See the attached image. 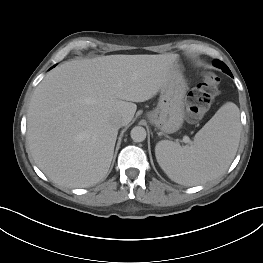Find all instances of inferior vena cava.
<instances>
[{
	"mask_svg": "<svg viewBox=\"0 0 263 263\" xmlns=\"http://www.w3.org/2000/svg\"><path fill=\"white\" fill-rule=\"evenodd\" d=\"M112 122H113V124H114L115 126H117V127H119V128L124 125V120H123V118H122L121 116H116V117H114V118L112 119Z\"/></svg>",
	"mask_w": 263,
	"mask_h": 263,
	"instance_id": "inferior-vena-cava-1",
	"label": "inferior vena cava"
}]
</instances>
